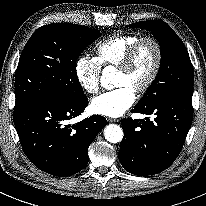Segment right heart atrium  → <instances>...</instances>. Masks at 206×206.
<instances>
[{
    "label": "right heart atrium",
    "instance_id": "right-heart-atrium-1",
    "mask_svg": "<svg viewBox=\"0 0 206 206\" xmlns=\"http://www.w3.org/2000/svg\"><path fill=\"white\" fill-rule=\"evenodd\" d=\"M75 76L82 90L94 95L100 89L101 65L96 58L81 56L75 64Z\"/></svg>",
    "mask_w": 206,
    "mask_h": 206
}]
</instances>
